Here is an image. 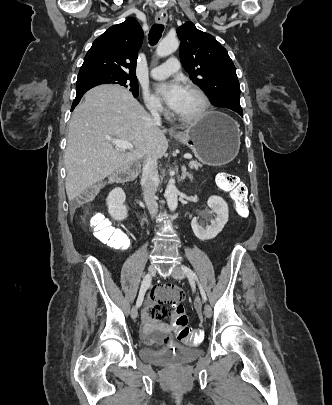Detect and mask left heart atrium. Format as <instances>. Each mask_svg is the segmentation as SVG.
Segmentation results:
<instances>
[{
	"label": "left heart atrium",
	"instance_id": "left-heart-atrium-1",
	"mask_svg": "<svg viewBox=\"0 0 332 405\" xmlns=\"http://www.w3.org/2000/svg\"><path fill=\"white\" fill-rule=\"evenodd\" d=\"M185 88L178 81L160 83L156 86L158 96L174 111L180 105Z\"/></svg>",
	"mask_w": 332,
	"mask_h": 405
}]
</instances>
